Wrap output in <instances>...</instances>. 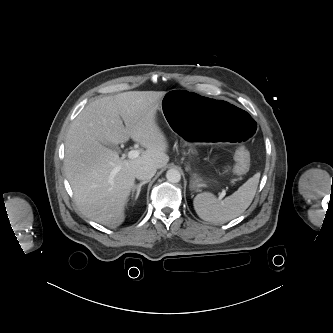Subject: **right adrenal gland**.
<instances>
[{
	"label": "right adrenal gland",
	"instance_id": "2a0ac1e0",
	"mask_svg": "<svg viewBox=\"0 0 333 333\" xmlns=\"http://www.w3.org/2000/svg\"><path fill=\"white\" fill-rule=\"evenodd\" d=\"M148 182H149V180H146V181L141 182V183L138 184V185H135V186L133 187V189H132V194H131L132 196H131V197L134 196V193H135V191H136V195H135L134 199L137 200V199H138V196H139V194H140V191H141V187H142L143 185H145L146 183H148Z\"/></svg>",
	"mask_w": 333,
	"mask_h": 333
}]
</instances>
